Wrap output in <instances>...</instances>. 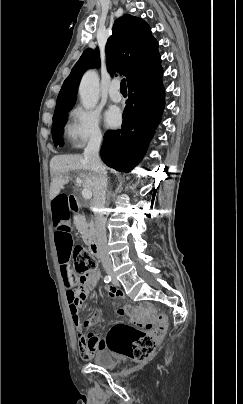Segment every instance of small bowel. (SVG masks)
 <instances>
[{
  "label": "small bowel",
  "instance_id": "small-bowel-1",
  "mask_svg": "<svg viewBox=\"0 0 243 404\" xmlns=\"http://www.w3.org/2000/svg\"><path fill=\"white\" fill-rule=\"evenodd\" d=\"M69 197L64 193L56 194L51 200L52 226L54 230V241L61 266V272L66 285V298L69 306L72 322L77 330L78 345L80 355L83 359H89L98 350L106 347L105 340L84 332L88 322L81 321L78 309L85 301L90 289L95 288L99 280V271H91L80 280L76 278L71 263L72 236L68 219ZM108 298L114 302L120 297V291L112 288H106ZM118 315L123 316L126 313L125 308H116Z\"/></svg>",
  "mask_w": 243,
  "mask_h": 404
}]
</instances>
